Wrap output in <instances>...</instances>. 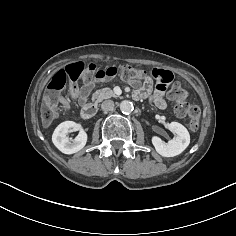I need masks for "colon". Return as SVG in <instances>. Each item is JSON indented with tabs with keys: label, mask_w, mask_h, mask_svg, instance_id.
<instances>
[{
	"label": "colon",
	"mask_w": 236,
	"mask_h": 236,
	"mask_svg": "<svg viewBox=\"0 0 236 236\" xmlns=\"http://www.w3.org/2000/svg\"><path fill=\"white\" fill-rule=\"evenodd\" d=\"M144 72L130 65L120 67L112 66L108 68L98 69L94 64H83L80 62L73 63L64 69L58 70L50 79L47 91L45 93L43 104L41 107V119L45 126L50 125L58 116L61 107H63L62 99L58 98V93L67 85L71 89H77V82H89L93 77L97 79H109L119 75L126 81H139ZM173 75L169 71H164L162 80L156 85V90L164 92L171 84ZM168 96L175 101L174 112L178 117H189L190 129L195 132L199 128L200 109L196 105H191L187 102L188 93L176 83L171 86L168 91Z\"/></svg>",
	"instance_id": "1"
}]
</instances>
